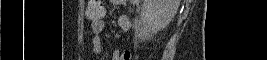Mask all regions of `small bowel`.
Segmentation results:
<instances>
[{
    "instance_id": "obj_1",
    "label": "small bowel",
    "mask_w": 267,
    "mask_h": 60,
    "mask_svg": "<svg viewBox=\"0 0 267 60\" xmlns=\"http://www.w3.org/2000/svg\"><path fill=\"white\" fill-rule=\"evenodd\" d=\"M112 2L116 5H123L125 3L124 0H113ZM86 14H88V7L86 10ZM103 16H104V12L98 20L93 21V22L90 21V30L93 34L92 52L95 55H99L103 50L102 39H101V34L104 30V22L102 20ZM118 26L121 32L123 33L127 32L131 27V22L128 16L121 15L118 18ZM130 58H131L130 53L120 48L116 49L112 56V60H129Z\"/></svg>"
}]
</instances>
